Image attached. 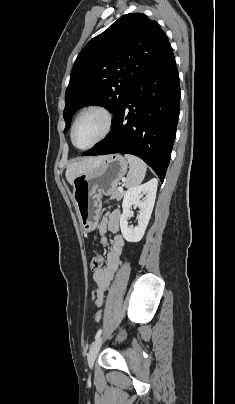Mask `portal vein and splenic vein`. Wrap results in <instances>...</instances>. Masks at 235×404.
<instances>
[{"label":"portal vein and splenic vein","mask_w":235,"mask_h":404,"mask_svg":"<svg viewBox=\"0 0 235 404\" xmlns=\"http://www.w3.org/2000/svg\"><path fill=\"white\" fill-rule=\"evenodd\" d=\"M118 191H123V187H119V188H118Z\"/></svg>","instance_id":"1"}]
</instances>
